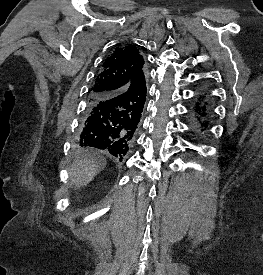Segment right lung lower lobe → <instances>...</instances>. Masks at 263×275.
I'll use <instances>...</instances> for the list:
<instances>
[{
	"mask_svg": "<svg viewBox=\"0 0 263 275\" xmlns=\"http://www.w3.org/2000/svg\"><path fill=\"white\" fill-rule=\"evenodd\" d=\"M139 75L145 84L143 70ZM90 97L93 102L87 105L82 118L77 144L82 149L105 150L122 161L134 138L141 113L129 109L126 92Z\"/></svg>",
	"mask_w": 263,
	"mask_h": 275,
	"instance_id": "right-lung-lower-lobe-1",
	"label": "right lung lower lobe"
}]
</instances>
